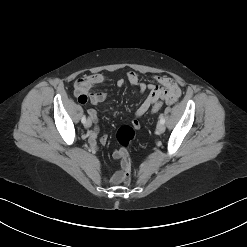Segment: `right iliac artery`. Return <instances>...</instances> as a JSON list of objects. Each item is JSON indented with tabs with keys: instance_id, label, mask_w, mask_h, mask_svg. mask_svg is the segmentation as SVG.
Segmentation results:
<instances>
[{
	"instance_id": "1",
	"label": "right iliac artery",
	"mask_w": 247,
	"mask_h": 247,
	"mask_svg": "<svg viewBox=\"0 0 247 247\" xmlns=\"http://www.w3.org/2000/svg\"><path fill=\"white\" fill-rule=\"evenodd\" d=\"M81 122L84 124L86 122V116L84 115L81 119Z\"/></svg>"
}]
</instances>
